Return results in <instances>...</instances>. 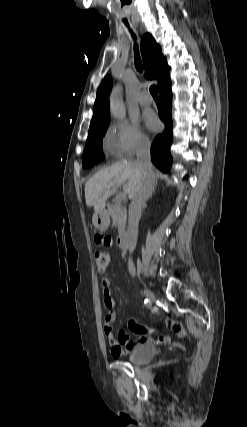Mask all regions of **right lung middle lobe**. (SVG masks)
Wrapping results in <instances>:
<instances>
[{"instance_id":"right-lung-middle-lobe-1","label":"right lung middle lobe","mask_w":247,"mask_h":427,"mask_svg":"<svg viewBox=\"0 0 247 427\" xmlns=\"http://www.w3.org/2000/svg\"><path fill=\"white\" fill-rule=\"evenodd\" d=\"M108 125L109 122H106L89 130L83 153V168H90L104 159V154L102 153V137Z\"/></svg>"}]
</instances>
